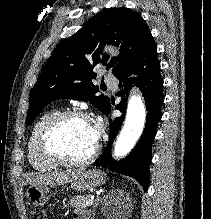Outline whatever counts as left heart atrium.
Here are the masks:
<instances>
[{
    "label": "left heart atrium",
    "instance_id": "39dd6f15",
    "mask_svg": "<svg viewBox=\"0 0 211 219\" xmlns=\"http://www.w3.org/2000/svg\"><path fill=\"white\" fill-rule=\"evenodd\" d=\"M90 130L94 141L97 142L101 136L102 131V124L100 120H97L94 123L90 124Z\"/></svg>",
    "mask_w": 211,
    "mask_h": 219
}]
</instances>
